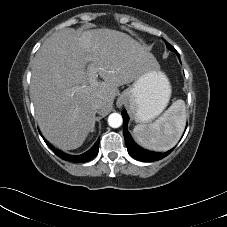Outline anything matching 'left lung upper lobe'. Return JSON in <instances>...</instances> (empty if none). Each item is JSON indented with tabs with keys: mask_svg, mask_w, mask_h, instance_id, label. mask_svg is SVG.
I'll return each instance as SVG.
<instances>
[{
	"mask_svg": "<svg viewBox=\"0 0 227 227\" xmlns=\"http://www.w3.org/2000/svg\"><path fill=\"white\" fill-rule=\"evenodd\" d=\"M165 41V40H164ZM166 42V41H165ZM166 44H167V47L171 50V51H175L176 52V54L178 55V57H179V53L175 50V48L173 47V46H171L168 42H166Z\"/></svg>",
	"mask_w": 227,
	"mask_h": 227,
	"instance_id": "obj_1",
	"label": "left lung upper lobe"
}]
</instances>
